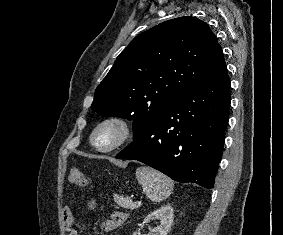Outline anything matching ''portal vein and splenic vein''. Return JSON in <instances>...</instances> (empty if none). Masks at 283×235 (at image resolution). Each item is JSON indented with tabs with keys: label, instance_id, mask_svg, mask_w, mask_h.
<instances>
[{
	"label": "portal vein and splenic vein",
	"instance_id": "1",
	"mask_svg": "<svg viewBox=\"0 0 283 235\" xmlns=\"http://www.w3.org/2000/svg\"><path fill=\"white\" fill-rule=\"evenodd\" d=\"M138 205H141V202L140 201H138V202H136Z\"/></svg>",
	"mask_w": 283,
	"mask_h": 235
}]
</instances>
